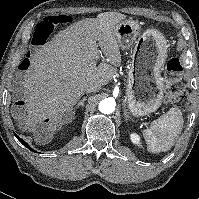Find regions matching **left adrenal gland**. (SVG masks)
<instances>
[{
  "instance_id": "a2214340",
  "label": "left adrenal gland",
  "mask_w": 199,
  "mask_h": 199,
  "mask_svg": "<svg viewBox=\"0 0 199 199\" xmlns=\"http://www.w3.org/2000/svg\"><path fill=\"white\" fill-rule=\"evenodd\" d=\"M123 108H124V116H125V119L127 121V120H129L130 116H129L128 111L126 109L125 103H123Z\"/></svg>"
}]
</instances>
